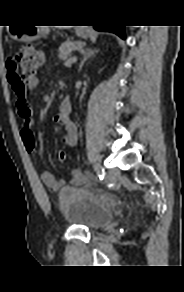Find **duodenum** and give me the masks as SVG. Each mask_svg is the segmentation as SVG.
<instances>
[{
    "mask_svg": "<svg viewBox=\"0 0 184 292\" xmlns=\"http://www.w3.org/2000/svg\"><path fill=\"white\" fill-rule=\"evenodd\" d=\"M70 108H71V99L66 97L61 101L59 105V112L61 114H65L69 111Z\"/></svg>",
    "mask_w": 184,
    "mask_h": 292,
    "instance_id": "obj_1",
    "label": "duodenum"
}]
</instances>
